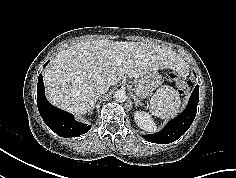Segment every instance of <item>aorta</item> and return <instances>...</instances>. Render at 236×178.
Returning a JSON list of instances; mask_svg holds the SVG:
<instances>
[{"instance_id": "1", "label": "aorta", "mask_w": 236, "mask_h": 178, "mask_svg": "<svg viewBox=\"0 0 236 178\" xmlns=\"http://www.w3.org/2000/svg\"><path fill=\"white\" fill-rule=\"evenodd\" d=\"M113 98L117 102H125V100L127 99V94L124 90L120 89L115 92V94L113 95Z\"/></svg>"}]
</instances>
